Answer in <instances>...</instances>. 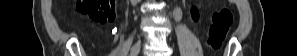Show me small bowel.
<instances>
[{
    "mask_svg": "<svg viewBox=\"0 0 297 56\" xmlns=\"http://www.w3.org/2000/svg\"><path fill=\"white\" fill-rule=\"evenodd\" d=\"M192 16H193L194 20L198 19V10L196 8L192 9Z\"/></svg>",
    "mask_w": 297,
    "mask_h": 56,
    "instance_id": "1",
    "label": "small bowel"
}]
</instances>
